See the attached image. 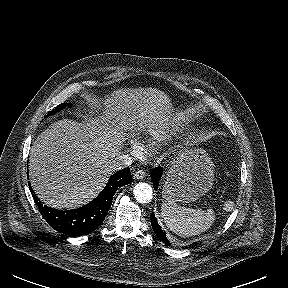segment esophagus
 Returning a JSON list of instances; mask_svg holds the SVG:
<instances>
[{
  "label": "esophagus",
  "mask_w": 288,
  "mask_h": 288,
  "mask_svg": "<svg viewBox=\"0 0 288 288\" xmlns=\"http://www.w3.org/2000/svg\"><path fill=\"white\" fill-rule=\"evenodd\" d=\"M133 177L134 179L138 180L143 179L146 177V172H144L143 170H138L134 173Z\"/></svg>",
  "instance_id": "obj_1"
}]
</instances>
